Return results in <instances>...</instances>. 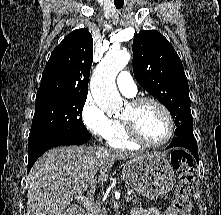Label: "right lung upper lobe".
I'll use <instances>...</instances> for the list:
<instances>
[{
    "label": "right lung upper lobe",
    "instance_id": "right-lung-upper-lobe-1",
    "mask_svg": "<svg viewBox=\"0 0 221 215\" xmlns=\"http://www.w3.org/2000/svg\"><path fill=\"white\" fill-rule=\"evenodd\" d=\"M92 61L90 32L82 28L68 34L44 68L36 102L57 96H87Z\"/></svg>",
    "mask_w": 221,
    "mask_h": 215
}]
</instances>
